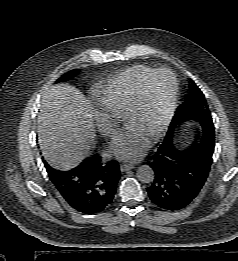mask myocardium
Masks as SVG:
<instances>
[{"instance_id":"f54148a6","label":"myocardium","mask_w":238,"mask_h":261,"mask_svg":"<svg viewBox=\"0 0 238 261\" xmlns=\"http://www.w3.org/2000/svg\"><path fill=\"white\" fill-rule=\"evenodd\" d=\"M163 73H168L172 76L173 82H174V88H173V92H172V95H171V98H170L168 108H167L166 113L164 115V118L162 119L159 126L152 133V137L154 139L160 137L166 131V129L169 127V125H170V123L173 119V116L175 114L177 103H178L179 89H180L179 79H178L177 75L171 69H169V68H159V69L152 71L150 74H148L140 82L138 89L136 91L134 100H133V102H132L131 106L129 107L127 114H126V120L129 121V119L141 109L143 102H144L145 91H146V87H147L148 83L154 77H156L157 75L163 74Z\"/></svg>"}]
</instances>
